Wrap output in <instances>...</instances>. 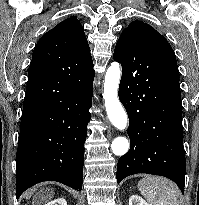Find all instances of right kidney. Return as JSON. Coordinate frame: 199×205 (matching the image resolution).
<instances>
[{"label": "right kidney", "mask_w": 199, "mask_h": 205, "mask_svg": "<svg viewBox=\"0 0 199 205\" xmlns=\"http://www.w3.org/2000/svg\"><path fill=\"white\" fill-rule=\"evenodd\" d=\"M45 205H67V202L64 198H57L55 200L48 202Z\"/></svg>", "instance_id": "obj_1"}]
</instances>
